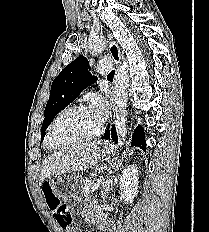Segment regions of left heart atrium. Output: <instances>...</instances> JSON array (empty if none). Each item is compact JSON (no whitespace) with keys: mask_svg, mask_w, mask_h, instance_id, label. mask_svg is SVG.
<instances>
[{"mask_svg":"<svg viewBox=\"0 0 209 232\" xmlns=\"http://www.w3.org/2000/svg\"><path fill=\"white\" fill-rule=\"evenodd\" d=\"M91 110L100 120L105 119L108 115L107 100L102 96L94 97Z\"/></svg>","mask_w":209,"mask_h":232,"instance_id":"left-heart-atrium-1","label":"left heart atrium"}]
</instances>
